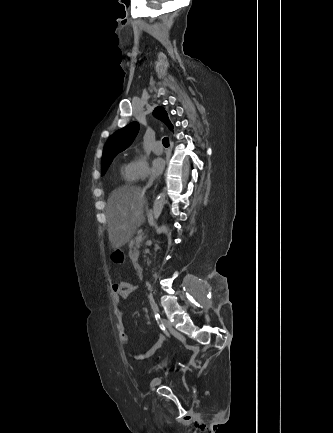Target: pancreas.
Listing matches in <instances>:
<instances>
[{
  "label": "pancreas",
  "instance_id": "pancreas-1",
  "mask_svg": "<svg viewBox=\"0 0 333 433\" xmlns=\"http://www.w3.org/2000/svg\"><path fill=\"white\" fill-rule=\"evenodd\" d=\"M141 246V242H137L136 240L131 241L129 244V257L132 260L133 264L136 265L137 264V260L139 257V249Z\"/></svg>",
  "mask_w": 333,
  "mask_h": 433
}]
</instances>
